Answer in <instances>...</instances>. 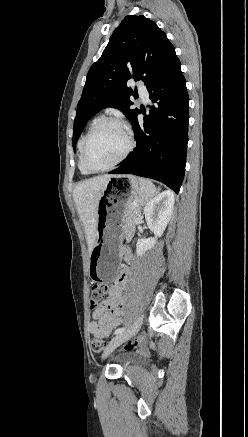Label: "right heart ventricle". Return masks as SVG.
<instances>
[{
    "label": "right heart ventricle",
    "mask_w": 248,
    "mask_h": 437,
    "mask_svg": "<svg viewBox=\"0 0 248 437\" xmlns=\"http://www.w3.org/2000/svg\"><path fill=\"white\" fill-rule=\"evenodd\" d=\"M99 120H100V117L97 116L89 121L83 135L81 136V138L78 142V151H79L78 167H79L80 172L84 175H88V174H90V172L85 169V167L82 163V146H83L84 140L87 137L88 133L90 132V130L93 128V126Z\"/></svg>",
    "instance_id": "right-heart-ventricle-1"
}]
</instances>
